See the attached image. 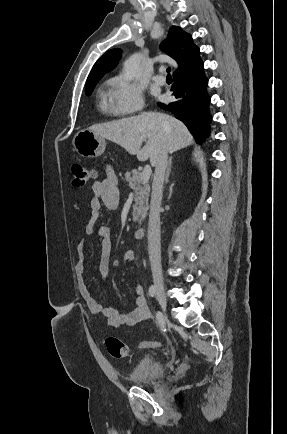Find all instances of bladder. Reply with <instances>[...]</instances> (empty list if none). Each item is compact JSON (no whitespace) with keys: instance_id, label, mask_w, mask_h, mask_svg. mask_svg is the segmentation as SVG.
Listing matches in <instances>:
<instances>
[{"instance_id":"obj_1","label":"bladder","mask_w":287,"mask_h":434,"mask_svg":"<svg viewBox=\"0 0 287 434\" xmlns=\"http://www.w3.org/2000/svg\"><path fill=\"white\" fill-rule=\"evenodd\" d=\"M167 372L166 363L155 356H147L127 375V379L139 386H151Z\"/></svg>"}]
</instances>
